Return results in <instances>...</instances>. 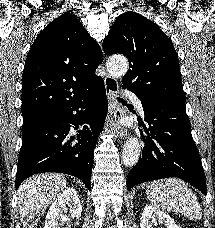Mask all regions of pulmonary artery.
Returning <instances> with one entry per match:
<instances>
[{"label":"pulmonary artery","mask_w":215,"mask_h":228,"mask_svg":"<svg viewBox=\"0 0 215 228\" xmlns=\"http://www.w3.org/2000/svg\"><path fill=\"white\" fill-rule=\"evenodd\" d=\"M119 93H121V96H130V88H119ZM129 102H135L134 109L139 110L141 114L144 113L145 106L142 105V97L132 95V97H129Z\"/></svg>","instance_id":"1"}]
</instances>
